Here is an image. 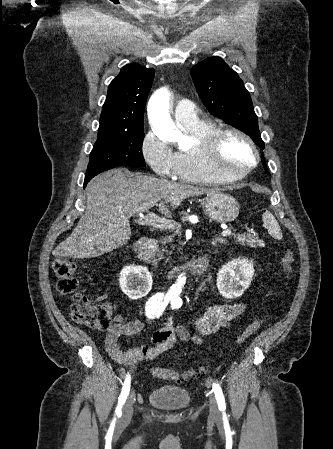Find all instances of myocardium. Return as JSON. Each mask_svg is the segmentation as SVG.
I'll return each instance as SVG.
<instances>
[{
    "instance_id": "obj_1",
    "label": "myocardium",
    "mask_w": 333,
    "mask_h": 449,
    "mask_svg": "<svg viewBox=\"0 0 333 449\" xmlns=\"http://www.w3.org/2000/svg\"><path fill=\"white\" fill-rule=\"evenodd\" d=\"M229 137H236L245 142L254 154V161L240 172H231L219 166V159L224 141ZM207 170L215 177L225 181H239L246 178L260 161L259 150L254 141L244 132L236 128L217 127L197 142Z\"/></svg>"
}]
</instances>
